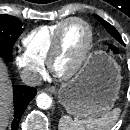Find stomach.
<instances>
[{
  "mask_svg": "<svg viewBox=\"0 0 130 130\" xmlns=\"http://www.w3.org/2000/svg\"><path fill=\"white\" fill-rule=\"evenodd\" d=\"M121 79L115 59L102 51H94L79 73L60 87L59 102L77 118L102 116L114 106Z\"/></svg>",
  "mask_w": 130,
  "mask_h": 130,
  "instance_id": "stomach-1",
  "label": "stomach"
}]
</instances>
